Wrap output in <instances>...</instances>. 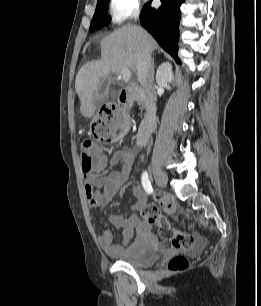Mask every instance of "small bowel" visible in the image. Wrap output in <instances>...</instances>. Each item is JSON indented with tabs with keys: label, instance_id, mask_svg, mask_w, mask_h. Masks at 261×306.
I'll return each mask as SVG.
<instances>
[{
	"label": "small bowel",
	"instance_id": "1",
	"mask_svg": "<svg viewBox=\"0 0 261 306\" xmlns=\"http://www.w3.org/2000/svg\"><path fill=\"white\" fill-rule=\"evenodd\" d=\"M95 150L97 155L102 154L97 148ZM135 155L133 149L124 147L116 150L108 159L102 154L97 167L91 171H83L85 195L92 209L104 207L114 200L132 173ZM133 194L136 197L133 208H142L147 202L146 194L139 186L133 187ZM106 221L122 230L123 244H116L113 233L108 229L98 235V244L107 255L117 258L134 251L135 243L130 245L129 241L133 238L136 228L147 229V225L141 222L137 214L128 217L112 215L107 217Z\"/></svg>",
	"mask_w": 261,
	"mask_h": 306
}]
</instances>
